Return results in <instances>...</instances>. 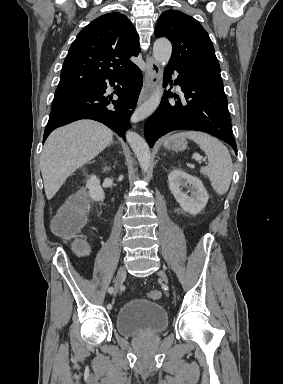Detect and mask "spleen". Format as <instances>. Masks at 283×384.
<instances>
[{"instance_id": "3e777b00", "label": "spleen", "mask_w": 283, "mask_h": 384, "mask_svg": "<svg viewBox=\"0 0 283 384\" xmlns=\"http://www.w3.org/2000/svg\"><path fill=\"white\" fill-rule=\"evenodd\" d=\"M178 138H189L195 144L200 146L208 158V166L200 168L201 174L207 176L211 182V186L219 196H223L229 190L232 178V160L231 156L224 144L219 142L217 138H211L203 132H180L174 134L169 140H178ZM167 142H165L166 146Z\"/></svg>"}]
</instances>
